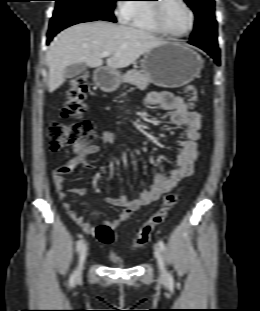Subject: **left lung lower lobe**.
<instances>
[{"mask_svg":"<svg viewBox=\"0 0 260 311\" xmlns=\"http://www.w3.org/2000/svg\"><path fill=\"white\" fill-rule=\"evenodd\" d=\"M189 43L206 51L212 58H214L216 63L220 65V59H219L220 50L218 46L208 45V44L199 43V42H192V41H189Z\"/></svg>","mask_w":260,"mask_h":311,"instance_id":"left-lung-lower-lobe-1","label":"left lung lower lobe"}]
</instances>
